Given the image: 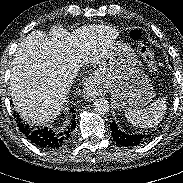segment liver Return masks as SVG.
<instances>
[{
    "instance_id": "1",
    "label": "liver",
    "mask_w": 183,
    "mask_h": 183,
    "mask_svg": "<svg viewBox=\"0 0 183 183\" xmlns=\"http://www.w3.org/2000/svg\"><path fill=\"white\" fill-rule=\"evenodd\" d=\"M111 25H85L73 32L60 26L49 38L35 30L19 44L11 64L10 95L21 117L32 125L53 121L73 79L68 65L100 64L118 37Z\"/></svg>"
}]
</instances>
